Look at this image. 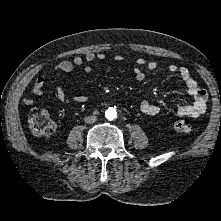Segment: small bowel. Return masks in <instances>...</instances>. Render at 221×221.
<instances>
[{"label":"small bowel","mask_w":221,"mask_h":221,"mask_svg":"<svg viewBox=\"0 0 221 221\" xmlns=\"http://www.w3.org/2000/svg\"><path fill=\"white\" fill-rule=\"evenodd\" d=\"M125 57L121 54L114 56L116 62H121ZM105 61L106 55L104 53H87L84 57L76 56L72 60H63L57 63L53 70L54 72H72L75 68L81 67L85 73H91L93 70V63L96 61ZM137 66L134 68V77L137 81H143L145 78V70H153L157 68L155 62L149 61L145 58H139L136 61ZM167 71L175 76L184 83L188 94L192 97V103L190 105H180L176 109V115L178 117H192L196 118L202 115L206 111V104L208 95L207 92L201 88L198 82L193 78L190 70L184 66H177L175 64H168L166 66ZM45 79L43 77H38L33 85L32 92L35 95H41L44 91ZM56 96L58 100L62 103H69L70 99L66 92L61 86L56 88ZM77 102H84L85 97H76ZM23 102L26 105H31L34 103V99L31 96L23 97ZM140 111L148 116H153L159 112V107L154 103L143 100L139 104Z\"/></svg>","instance_id":"small-bowel-1"}]
</instances>
